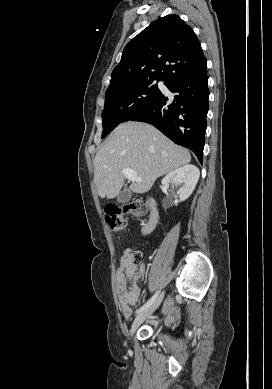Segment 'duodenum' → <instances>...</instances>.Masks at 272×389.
I'll return each mask as SVG.
<instances>
[{
  "label": "duodenum",
  "mask_w": 272,
  "mask_h": 389,
  "mask_svg": "<svg viewBox=\"0 0 272 389\" xmlns=\"http://www.w3.org/2000/svg\"><path fill=\"white\" fill-rule=\"evenodd\" d=\"M146 202L151 209V213H150L148 220L145 222V224L143 226V233L144 234H147L154 229V227L156 226L157 217H158V213H157V210L155 207L154 199L150 196H147Z\"/></svg>",
  "instance_id": "1"
}]
</instances>
